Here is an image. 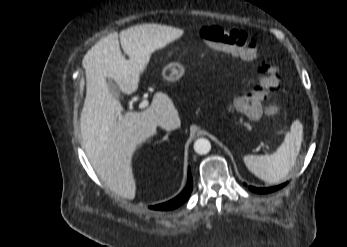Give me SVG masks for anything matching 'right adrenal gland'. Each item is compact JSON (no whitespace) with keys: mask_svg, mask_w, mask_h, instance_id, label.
<instances>
[{"mask_svg":"<svg viewBox=\"0 0 347 247\" xmlns=\"http://www.w3.org/2000/svg\"><path fill=\"white\" fill-rule=\"evenodd\" d=\"M169 134H170V133H167V134L163 137V139H162L161 141H159V142L167 141V140H168V137H169ZM159 142H157V143H159Z\"/></svg>","mask_w":347,"mask_h":247,"instance_id":"right-adrenal-gland-1","label":"right adrenal gland"}]
</instances>
